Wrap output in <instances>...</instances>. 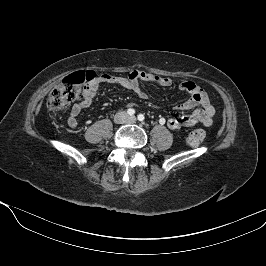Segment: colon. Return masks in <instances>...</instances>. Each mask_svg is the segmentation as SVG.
Wrapping results in <instances>:
<instances>
[{
    "mask_svg": "<svg viewBox=\"0 0 266 266\" xmlns=\"http://www.w3.org/2000/svg\"><path fill=\"white\" fill-rule=\"evenodd\" d=\"M96 79L93 71H78L65 77L63 81L49 94L47 107L57 111L65 108L70 103L83 98L85 88ZM205 138L202 129H195L187 136V144L196 148Z\"/></svg>",
    "mask_w": 266,
    "mask_h": 266,
    "instance_id": "1",
    "label": "colon"
}]
</instances>
